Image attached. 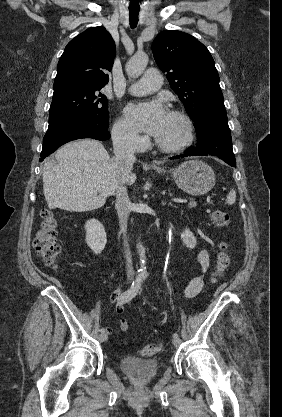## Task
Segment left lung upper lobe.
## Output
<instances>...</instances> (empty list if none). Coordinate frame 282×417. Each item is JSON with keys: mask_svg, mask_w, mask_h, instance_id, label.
I'll list each match as a JSON object with an SVG mask.
<instances>
[{"mask_svg": "<svg viewBox=\"0 0 282 417\" xmlns=\"http://www.w3.org/2000/svg\"><path fill=\"white\" fill-rule=\"evenodd\" d=\"M152 52L195 126L206 113L225 110L214 60L196 38L180 31H162L153 41Z\"/></svg>", "mask_w": 282, "mask_h": 417, "instance_id": "obj_1", "label": "left lung upper lobe"}]
</instances>
